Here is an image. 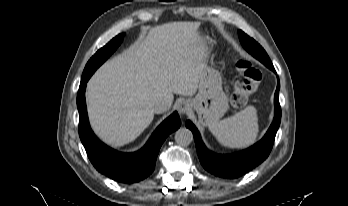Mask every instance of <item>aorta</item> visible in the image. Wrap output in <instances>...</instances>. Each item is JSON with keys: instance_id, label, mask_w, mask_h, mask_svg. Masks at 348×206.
I'll use <instances>...</instances> for the list:
<instances>
[{"instance_id": "obj_1", "label": "aorta", "mask_w": 348, "mask_h": 206, "mask_svg": "<svg viewBox=\"0 0 348 206\" xmlns=\"http://www.w3.org/2000/svg\"><path fill=\"white\" fill-rule=\"evenodd\" d=\"M175 140L178 144L187 146L193 141V134L189 129L181 128L176 132Z\"/></svg>"}]
</instances>
